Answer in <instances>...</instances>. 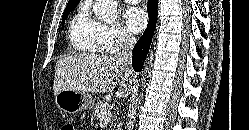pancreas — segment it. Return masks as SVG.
<instances>
[{
    "mask_svg": "<svg viewBox=\"0 0 249 130\" xmlns=\"http://www.w3.org/2000/svg\"><path fill=\"white\" fill-rule=\"evenodd\" d=\"M111 106L107 102H98L94 108V116L99 120L102 112H110Z\"/></svg>",
    "mask_w": 249,
    "mask_h": 130,
    "instance_id": "obj_1",
    "label": "pancreas"
}]
</instances>
